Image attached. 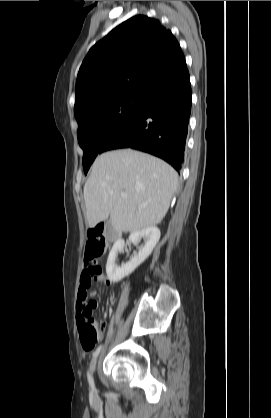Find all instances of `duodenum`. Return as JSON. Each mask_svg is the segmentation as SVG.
<instances>
[{
	"label": "duodenum",
	"mask_w": 271,
	"mask_h": 418,
	"mask_svg": "<svg viewBox=\"0 0 271 418\" xmlns=\"http://www.w3.org/2000/svg\"><path fill=\"white\" fill-rule=\"evenodd\" d=\"M118 237H119L118 234L114 233L113 235L110 236V239L111 240H116V239H118Z\"/></svg>",
	"instance_id": "obj_1"
}]
</instances>
